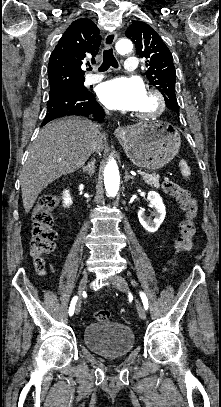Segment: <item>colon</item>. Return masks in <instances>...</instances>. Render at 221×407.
I'll list each match as a JSON object with an SVG mask.
<instances>
[{
  "label": "colon",
  "mask_w": 221,
  "mask_h": 407,
  "mask_svg": "<svg viewBox=\"0 0 221 407\" xmlns=\"http://www.w3.org/2000/svg\"><path fill=\"white\" fill-rule=\"evenodd\" d=\"M162 188L167 195L179 203L183 212V217L179 223V235L175 242V251L168 263V270L171 271L177 263V256L187 253L191 248L196 233L195 218L198 204L187 189L170 179L163 181ZM58 203L59 197L57 195H43L39 198L33 213L31 253L39 274L45 272L44 256L55 248L57 234L53 229L52 210ZM110 317L111 312L108 310H99L96 313V319L99 321H108Z\"/></svg>",
  "instance_id": "1"
}]
</instances>
